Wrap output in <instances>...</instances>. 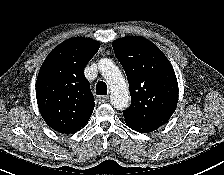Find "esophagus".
<instances>
[{
  "label": "esophagus",
  "mask_w": 224,
  "mask_h": 175,
  "mask_svg": "<svg viewBox=\"0 0 224 175\" xmlns=\"http://www.w3.org/2000/svg\"><path fill=\"white\" fill-rule=\"evenodd\" d=\"M99 103H106L109 101V97L107 95H103L99 97Z\"/></svg>",
  "instance_id": "esophagus-1"
}]
</instances>
